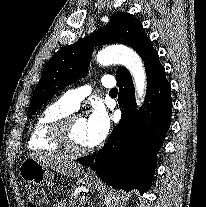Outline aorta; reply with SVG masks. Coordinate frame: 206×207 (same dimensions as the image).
I'll return each mask as SVG.
<instances>
[{"instance_id":"762f6f07","label":"aorta","mask_w":206,"mask_h":207,"mask_svg":"<svg viewBox=\"0 0 206 207\" xmlns=\"http://www.w3.org/2000/svg\"><path fill=\"white\" fill-rule=\"evenodd\" d=\"M96 60L103 66L119 63L128 68L135 84L138 104L142 103L146 91V74L142 60L135 51L125 46H110L101 50L97 54ZM110 201L111 198H108L107 205Z\"/></svg>"}]
</instances>
